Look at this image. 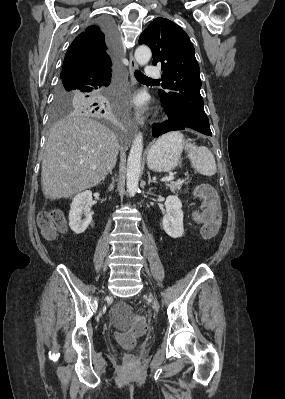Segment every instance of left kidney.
I'll use <instances>...</instances> for the list:
<instances>
[{"label": "left kidney", "instance_id": "obj_1", "mask_svg": "<svg viewBox=\"0 0 285 399\" xmlns=\"http://www.w3.org/2000/svg\"><path fill=\"white\" fill-rule=\"evenodd\" d=\"M165 214L162 220L163 229L172 238L184 234L182 203L177 196H168L165 201Z\"/></svg>", "mask_w": 285, "mask_h": 399}]
</instances>
